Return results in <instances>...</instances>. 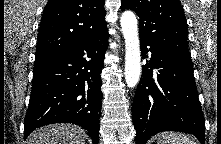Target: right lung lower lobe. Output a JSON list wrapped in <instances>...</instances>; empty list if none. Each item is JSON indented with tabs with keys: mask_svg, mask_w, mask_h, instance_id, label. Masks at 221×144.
<instances>
[{
	"mask_svg": "<svg viewBox=\"0 0 221 144\" xmlns=\"http://www.w3.org/2000/svg\"><path fill=\"white\" fill-rule=\"evenodd\" d=\"M108 37L105 30L34 65L25 139L36 128L64 122L82 126L93 144H98L103 96L100 73Z\"/></svg>",
	"mask_w": 221,
	"mask_h": 144,
	"instance_id": "1",
	"label": "right lung lower lobe"
}]
</instances>
